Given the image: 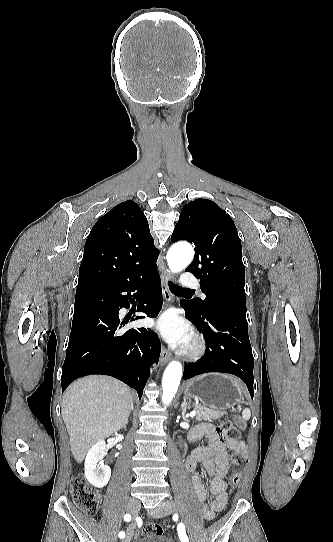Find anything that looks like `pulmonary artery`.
I'll list each match as a JSON object with an SVG mask.
<instances>
[{
    "mask_svg": "<svg viewBox=\"0 0 333 542\" xmlns=\"http://www.w3.org/2000/svg\"><path fill=\"white\" fill-rule=\"evenodd\" d=\"M197 277L193 273H187L186 275L181 276L182 286L185 289H192V288H198L199 286L196 284ZM201 297L204 298L205 294L201 292Z\"/></svg>",
    "mask_w": 333,
    "mask_h": 542,
    "instance_id": "pulmonary-artery-1",
    "label": "pulmonary artery"
}]
</instances>
